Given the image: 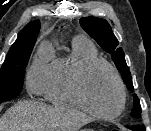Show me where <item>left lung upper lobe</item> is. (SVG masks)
<instances>
[{
    "label": "left lung upper lobe",
    "instance_id": "left-lung-upper-lobe-1",
    "mask_svg": "<svg viewBox=\"0 0 151 131\" xmlns=\"http://www.w3.org/2000/svg\"><path fill=\"white\" fill-rule=\"evenodd\" d=\"M82 28L102 47L103 50L111 54L124 83L128 89H133L132 77L125 61L122 48H118V40L114 36L108 22L97 17H83L80 19ZM135 108L132 110V116L137 117L141 113L140 100L136 94L133 96Z\"/></svg>",
    "mask_w": 151,
    "mask_h": 131
}]
</instances>
